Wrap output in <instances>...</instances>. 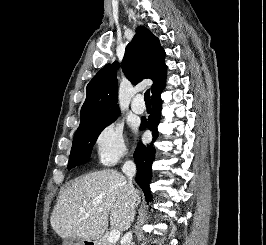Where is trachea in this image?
Returning a JSON list of instances; mask_svg holds the SVG:
<instances>
[{
    "label": "trachea",
    "instance_id": "obj_1",
    "mask_svg": "<svg viewBox=\"0 0 266 245\" xmlns=\"http://www.w3.org/2000/svg\"><path fill=\"white\" fill-rule=\"evenodd\" d=\"M144 100L146 103H150V90H146L144 94Z\"/></svg>",
    "mask_w": 266,
    "mask_h": 245
}]
</instances>
